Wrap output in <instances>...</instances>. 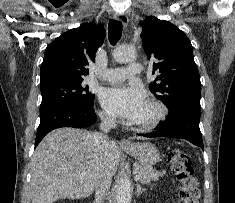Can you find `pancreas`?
<instances>
[{
	"mask_svg": "<svg viewBox=\"0 0 235 203\" xmlns=\"http://www.w3.org/2000/svg\"><path fill=\"white\" fill-rule=\"evenodd\" d=\"M134 171L140 176L141 183H150L152 180H158L159 177L165 174V171H157L152 166L135 164Z\"/></svg>",
	"mask_w": 235,
	"mask_h": 203,
	"instance_id": "cf45deb5",
	"label": "pancreas"
}]
</instances>
